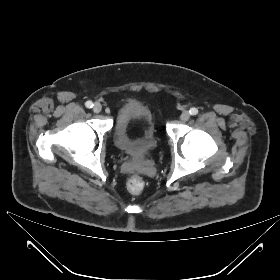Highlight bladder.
<instances>
[{"label": "bladder", "mask_w": 280, "mask_h": 280, "mask_svg": "<svg viewBox=\"0 0 280 280\" xmlns=\"http://www.w3.org/2000/svg\"><path fill=\"white\" fill-rule=\"evenodd\" d=\"M139 124L141 132L132 137L131 125ZM116 147L135 162L146 160L156 147L155 120L152 111L139 102L125 104L118 113L114 128Z\"/></svg>", "instance_id": "31cf9c89"}]
</instances>
